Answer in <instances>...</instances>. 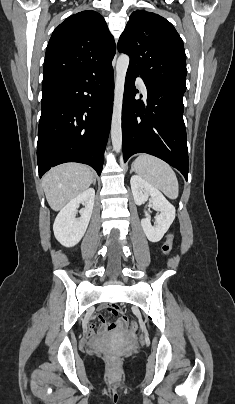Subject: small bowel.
<instances>
[{"label":"small bowel","mask_w":235,"mask_h":404,"mask_svg":"<svg viewBox=\"0 0 235 404\" xmlns=\"http://www.w3.org/2000/svg\"><path fill=\"white\" fill-rule=\"evenodd\" d=\"M103 310L104 309L102 308V309H99L97 312L92 313L91 318H94L95 316L101 317V312ZM117 329H119V328H115L113 330H117ZM93 333H94V327H93V325H89L88 326V334L92 335Z\"/></svg>","instance_id":"1"}]
</instances>
